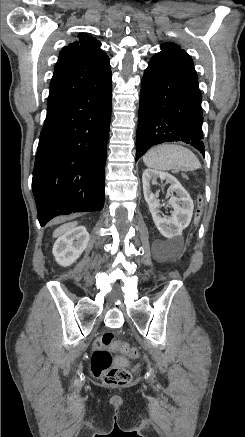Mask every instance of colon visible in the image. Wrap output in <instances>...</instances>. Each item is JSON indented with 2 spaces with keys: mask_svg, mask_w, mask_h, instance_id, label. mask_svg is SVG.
I'll return each instance as SVG.
<instances>
[{
  "mask_svg": "<svg viewBox=\"0 0 245 437\" xmlns=\"http://www.w3.org/2000/svg\"><path fill=\"white\" fill-rule=\"evenodd\" d=\"M203 214V199L199 197L198 208L195 214V223L198 224ZM94 352L91 361L93 374L99 377L105 384L111 386H124L131 381V374L127 369L113 367L111 348L117 349L128 357L135 359L140 356V351L135 346L116 341L113 333H105L96 339L93 344Z\"/></svg>",
  "mask_w": 245,
  "mask_h": 437,
  "instance_id": "colon-1",
  "label": "colon"
}]
</instances>
